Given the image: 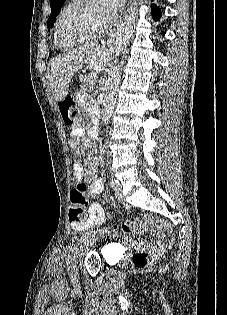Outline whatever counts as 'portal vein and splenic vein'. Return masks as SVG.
I'll return each instance as SVG.
<instances>
[{
    "mask_svg": "<svg viewBox=\"0 0 227 315\" xmlns=\"http://www.w3.org/2000/svg\"><path fill=\"white\" fill-rule=\"evenodd\" d=\"M91 78L93 79V81H95L97 79V75L96 74H92Z\"/></svg>",
    "mask_w": 227,
    "mask_h": 315,
    "instance_id": "portal-vein-and-splenic-vein-1",
    "label": "portal vein and splenic vein"
}]
</instances>
